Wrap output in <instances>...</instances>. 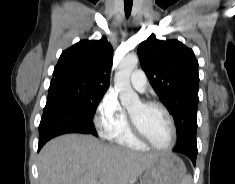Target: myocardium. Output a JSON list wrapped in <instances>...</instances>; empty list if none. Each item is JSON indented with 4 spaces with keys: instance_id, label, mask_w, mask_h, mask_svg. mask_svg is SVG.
Segmentation results:
<instances>
[{
    "instance_id": "obj_1",
    "label": "myocardium",
    "mask_w": 235,
    "mask_h": 184,
    "mask_svg": "<svg viewBox=\"0 0 235 184\" xmlns=\"http://www.w3.org/2000/svg\"><path fill=\"white\" fill-rule=\"evenodd\" d=\"M141 103L145 108L158 107V108L162 109L165 112V114L169 118V122H170V126H171V138H170V142L167 146H165V147L157 146L138 127V125L135 123L132 116L130 115L131 130H132L133 136L137 140L141 141L142 143L149 146L150 148H152L155 151H158V152H161V153L170 152L174 148V146L176 144V140H177L176 122H175V118H174L172 112L169 110V108L167 106H165L163 103L158 102V101H143Z\"/></svg>"
}]
</instances>
